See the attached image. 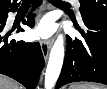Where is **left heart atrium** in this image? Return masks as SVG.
<instances>
[{
  "instance_id": "left-heart-atrium-1",
  "label": "left heart atrium",
  "mask_w": 107,
  "mask_h": 89,
  "mask_svg": "<svg viewBox=\"0 0 107 89\" xmlns=\"http://www.w3.org/2000/svg\"><path fill=\"white\" fill-rule=\"evenodd\" d=\"M55 30L54 22L51 18L46 17L40 21L33 31L36 38L47 39L49 38Z\"/></svg>"
}]
</instances>
